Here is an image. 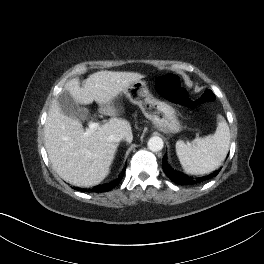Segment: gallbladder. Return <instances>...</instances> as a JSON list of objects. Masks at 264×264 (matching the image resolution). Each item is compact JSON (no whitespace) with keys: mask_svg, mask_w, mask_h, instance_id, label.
<instances>
[{"mask_svg":"<svg viewBox=\"0 0 264 264\" xmlns=\"http://www.w3.org/2000/svg\"><path fill=\"white\" fill-rule=\"evenodd\" d=\"M56 101L61 111L68 117L84 120L89 115V111L85 107L80 106L67 90H62L58 94Z\"/></svg>","mask_w":264,"mask_h":264,"instance_id":"bac80fb5","label":"gallbladder"}]
</instances>
